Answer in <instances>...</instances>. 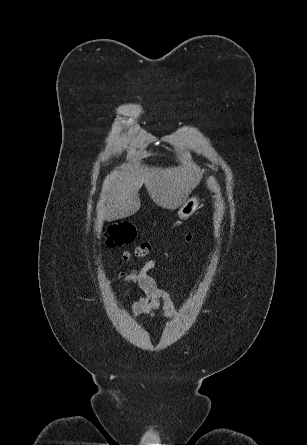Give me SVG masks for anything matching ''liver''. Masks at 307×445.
<instances>
[{"label": "liver", "instance_id": "obj_1", "mask_svg": "<svg viewBox=\"0 0 307 445\" xmlns=\"http://www.w3.org/2000/svg\"><path fill=\"white\" fill-rule=\"evenodd\" d=\"M201 176V170L191 162L186 166L180 164L166 168L143 162H134L132 166L125 164L106 176L97 202V214L103 220H117L135 214L141 206L138 190L143 184L153 202L174 210L187 200Z\"/></svg>", "mask_w": 307, "mask_h": 445}]
</instances>
